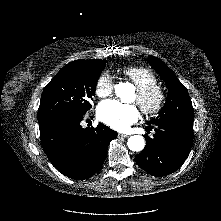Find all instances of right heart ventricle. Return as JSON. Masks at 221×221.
I'll list each match as a JSON object with an SVG mask.
<instances>
[{"label":"right heart ventricle","mask_w":221,"mask_h":221,"mask_svg":"<svg viewBox=\"0 0 221 221\" xmlns=\"http://www.w3.org/2000/svg\"><path fill=\"white\" fill-rule=\"evenodd\" d=\"M122 71L125 77L128 78L137 89H143L155 85L158 81L155 73L147 67L128 66Z\"/></svg>","instance_id":"e07e8e85"}]
</instances>
